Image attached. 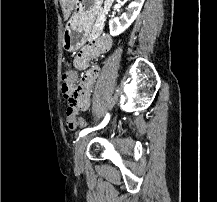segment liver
Here are the masks:
<instances>
[{"instance_id": "liver-1", "label": "liver", "mask_w": 217, "mask_h": 202, "mask_svg": "<svg viewBox=\"0 0 217 202\" xmlns=\"http://www.w3.org/2000/svg\"><path fill=\"white\" fill-rule=\"evenodd\" d=\"M76 0H60L62 6V12L64 14V20H68L73 8L75 6Z\"/></svg>"}]
</instances>
